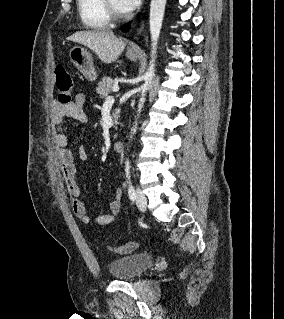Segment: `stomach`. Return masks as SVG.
<instances>
[{
    "label": "stomach",
    "instance_id": "obj_1",
    "mask_svg": "<svg viewBox=\"0 0 284 319\" xmlns=\"http://www.w3.org/2000/svg\"><path fill=\"white\" fill-rule=\"evenodd\" d=\"M127 58L131 61H136L138 55L127 53ZM70 59L76 68L83 74L86 79L91 81L97 78V73L93 65V59L89 51L80 46H74L69 52Z\"/></svg>",
    "mask_w": 284,
    "mask_h": 319
}]
</instances>
